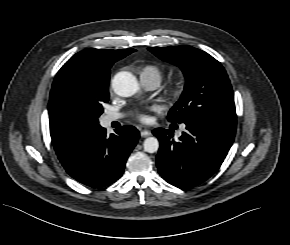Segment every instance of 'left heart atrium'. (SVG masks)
<instances>
[{"label":"left heart atrium","mask_w":290,"mask_h":245,"mask_svg":"<svg viewBox=\"0 0 290 245\" xmlns=\"http://www.w3.org/2000/svg\"><path fill=\"white\" fill-rule=\"evenodd\" d=\"M137 117L143 121V122H147L148 121V116L144 113V112H139L137 114Z\"/></svg>","instance_id":"left-heart-atrium-1"}]
</instances>
